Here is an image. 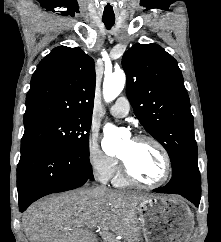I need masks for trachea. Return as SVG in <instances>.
I'll return each mask as SVG.
<instances>
[{"label":"trachea","mask_w":221,"mask_h":242,"mask_svg":"<svg viewBox=\"0 0 221 242\" xmlns=\"http://www.w3.org/2000/svg\"><path fill=\"white\" fill-rule=\"evenodd\" d=\"M103 22L105 24V26L110 29L114 23H115V19H107V18H103Z\"/></svg>","instance_id":"1"}]
</instances>
